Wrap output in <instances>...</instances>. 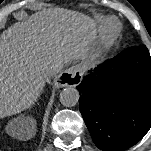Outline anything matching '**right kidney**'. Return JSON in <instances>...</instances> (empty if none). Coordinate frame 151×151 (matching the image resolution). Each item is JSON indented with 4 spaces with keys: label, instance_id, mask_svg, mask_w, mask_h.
Wrapping results in <instances>:
<instances>
[{
    "label": "right kidney",
    "instance_id": "1",
    "mask_svg": "<svg viewBox=\"0 0 151 151\" xmlns=\"http://www.w3.org/2000/svg\"><path fill=\"white\" fill-rule=\"evenodd\" d=\"M17 120H14L13 122H16ZM10 127H11V131H12V133H16L17 132V130H16V128L13 126V125H10ZM27 131H28V128L26 129V133H27ZM25 138H27V134H26V137Z\"/></svg>",
    "mask_w": 151,
    "mask_h": 151
}]
</instances>
